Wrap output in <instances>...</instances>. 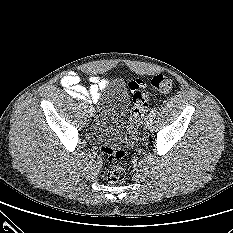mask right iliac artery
<instances>
[{"instance_id": "obj_1", "label": "right iliac artery", "mask_w": 233, "mask_h": 233, "mask_svg": "<svg viewBox=\"0 0 233 233\" xmlns=\"http://www.w3.org/2000/svg\"><path fill=\"white\" fill-rule=\"evenodd\" d=\"M81 105H82L83 108H87L88 107V105H87L86 102H82Z\"/></svg>"}]
</instances>
